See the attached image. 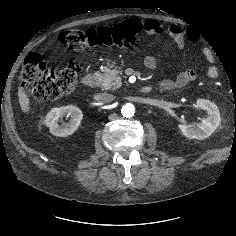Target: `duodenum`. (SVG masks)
I'll use <instances>...</instances> for the list:
<instances>
[{
	"label": "duodenum",
	"mask_w": 236,
	"mask_h": 236,
	"mask_svg": "<svg viewBox=\"0 0 236 236\" xmlns=\"http://www.w3.org/2000/svg\"><path fill=\"white\" fill-rule=\"evenodd\" d=\"M82 82L86 87H94L96 85L97 78L94 74L90 73L83 77ZM150 90L151 88L146 86L141 89V92L146 93L149 92Z\"/></svg>",
	"instance_id": "410a0bca"
}]
</instances>
